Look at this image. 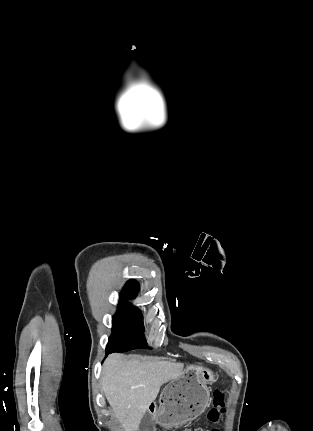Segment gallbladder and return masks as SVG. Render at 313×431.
I'll list each match as a JSON object with an SVG mask.
<instances>
[{"mask_svg":"<svg viewBox=\"0 0 313 431\" xmlns=\"http://www.w3.org/2000/svg\"><path fill=\"white\" fill-rule=\"evenodd\" d=\"M143 424H144L146 427H151V426H153V425H154V423H153V418L151 417V415H149V414H145V415H144V418H143Z\"/></svg>","mask_w":313,"mask_h":431,"instance_id":"gallbladder-1","label":"gallbladder"}]
</instances>
